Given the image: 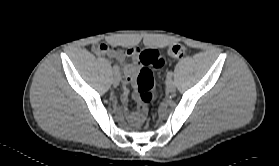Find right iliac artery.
I'll return each mask as SVG.
<instances>
[{"label": "right iliac artery", "instance_id": "obj_1", "mask_svg": "<svg viewBox=\"0 0 279 166\" xmlns=\"http://www.w3.org/2000/svg\"><path fill=\"white\" fill-rule=\"evenodd\" d=\"M113 71H114L115 74H117L119 72L118 66L114 65L113 66Z\"/></svg>", "mask_w": 279, "mask_h": 166}]
</instances>
